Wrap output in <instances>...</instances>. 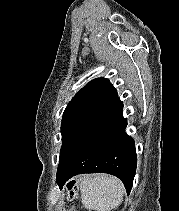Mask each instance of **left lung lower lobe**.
Listing matches in <instances>:
<instances>
[{"mask_svg":"<svg viewBox=\"0 0 179 211\" xmlns=\"http://www.w3.org/2000/svg\"><path fill=\"white\" fill-rule=\"evenodd\" d=\"M122 110L117 97L97 118L70 163L57 174L60 189L75 175L108 173L121 179L130 193L137 155L134 140L125 133L127 121Z\"/></svg>","mask_w":179,"mask_h":211,"instance_id":"obj_1","label":"left lung lower lobe"}]
</instances>
